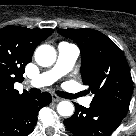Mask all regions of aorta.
<instances>
[{
  "mask_svg": "<svg viewBox=\"0 0 136 136\" xmlns=\"http://www.w3.org/2000/svg\"><path fill=\"white\" fill-rule=\"evenodd\" d=\"M35 60L42 67L51 66L56 60V51L50 45H41L35 51ZM57 111L61 116H71L74 106L69 101H61L57 106Z\"/></svg>",
  "mask_w": 136,
  "mask_h": 136,
  "instance_id": "1",
  "label": "aorta"
}]
</instances>
